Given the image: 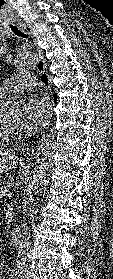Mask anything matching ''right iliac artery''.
<instances>
[{
    "label": "right iliac artery",
    "instance_id": "obj_1",
    "mask_svg": "<svg viewBox=\"0 0 113 279\" xmlns=\"http://www.w3.org/2000/svg\"><path fill=\"white\" fill-rule=\"evenodd\" d=\"M16 275H17V271L16 270H12L11 274H10L11 278H13Z\"/></svg>",
    "mask_w": 113,
    "mask_h": 279
}]
</instances>
